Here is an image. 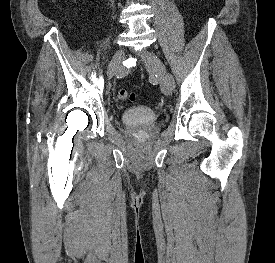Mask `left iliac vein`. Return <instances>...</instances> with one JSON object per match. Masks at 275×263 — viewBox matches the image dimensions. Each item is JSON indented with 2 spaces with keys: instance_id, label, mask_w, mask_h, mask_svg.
<instances>
[{
  "instance_id": "4c4485c4",
  "label": "left iliac vein",
  "mask_w": 275,
  "mask_h": 263,
  "mask_svg": "<svg viewBox=\"0 0 275 263\" xmlns=\"http://www.w3.org/2000/svg\"><path fill=\"white\" fill-rule=\"evenodd\" d=\"M142 57L149 73L158 78L162 92L165 95H170L173 91V86L168 79L164 63L155 53L148 50L142 52Z\"/></svg>"
}]
</instances>
